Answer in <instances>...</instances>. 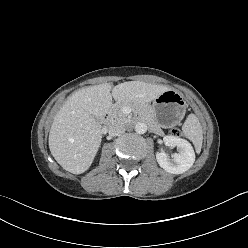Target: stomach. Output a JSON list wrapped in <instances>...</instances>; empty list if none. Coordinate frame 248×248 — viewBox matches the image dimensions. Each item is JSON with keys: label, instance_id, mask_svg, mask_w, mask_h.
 <instances>
[{"label": "stomach", "instance_id": "1", "mask_svg": "<svg viewBox=\"0 0 248 248\" xmlns=\"http://www.w3.org/2000/svg\"><path fill=\"white\" fill-rule=\"evenodd\" d=\"M162 127L176 125L184 116L186 103L182 95L175 90H167L154 99L150 112Z\"/></svg>", "mask_w": 248, "mask_h": 248}]
</instances>
